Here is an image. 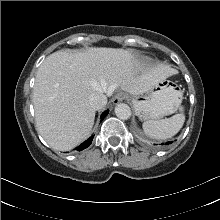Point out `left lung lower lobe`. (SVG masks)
Returning a JSON list of instances; mask_svg holds the SVG:
<instances>
[{
    "label": "left lung lower lobe",
    "instance_id": "left-lung-lower-lobe-1",
    "mask_svg": "<svg viewBox=\"0 0 220 220\" xmlns=\"http://www.w3.org/2000/svg\"><path fill=\"white\" fill-rule=\"evenodd\" d=\"M165 144L168 145V144H171V142H167V143H165ZM161 145H164V144L162 143Z\"/></svg>",
    "mask_w": 220,
    "mask_h": 220
}]
</instances>
